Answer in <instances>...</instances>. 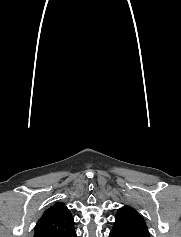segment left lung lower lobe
<instances>
[{
	"label": "left lung lower lobe",
	"instance_id": "obj_1",
	"mask_svg": "<svg viewBox=\"0 0 181 237\" xmlns=\"http://www.w3.org/2000/svg\"><path fill=\"white\" fill-rule=\"evenodd\" d=\"M109 237H143V236L135 235V234H131V233L121 234V233L111 231L109 234Z\"/></svg>",
	"mask_w": 181,
	"mask_h": 237
}]
</instances>
